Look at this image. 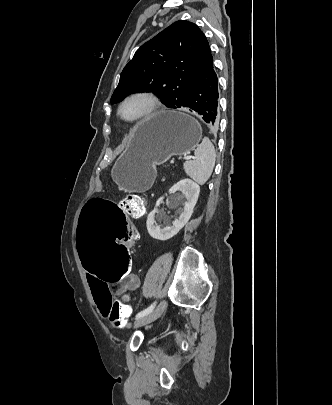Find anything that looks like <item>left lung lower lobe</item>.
<instances>
[{
	"instance_id": "0a47b994",
	"label": "left lung lower lobe",
	"mask_w": 332,
	"mask_h": 405,
	"mask_svg": "<svg viewBox=\"0 0 332 405\" xmlns=\"http://www.w3.org/2000/svg\"><path fill=\"white\" fill-rule=\"evenodd\" d=\"M218 80L213 67V57L199 70L194 78L188 99L182 107L189 108L213 127L219 124Z\"/></svg>"
}]
</instances>
